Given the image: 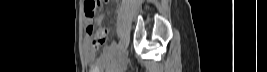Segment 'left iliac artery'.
Returning a JSON list of instances; mask_svg holds the SVG:
<instances>
[{"instance_id": "44dca946", "label": "left iliac artery", "mask_w": 267, "mask_h": 72, "mask_svg": "<svg viewBox=\"0 0 267 72\" xmlns=\"http://www.w3.org/2000/svg\"><path fill=\"white\" fill-rule=\"evenodd\" d=\"M122 54H123V42L120 40L118 45H117V55H116L117 61L120 60Z\"/></svg>"}]
</instances>
